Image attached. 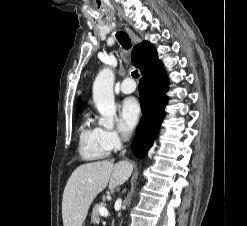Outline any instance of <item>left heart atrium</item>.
<instances>
[{"label":"left heart atrium","instance_id":"1","mask_svg":"<svg viewBox=\"0 0 247 226\" xmlns=\"http://www.w3.org/2000/svg\"><path fill=\"white\" fill-rule=\"evenodd\" d=\"M141 109L135 98H127L121 107V126L126 130L135 127L140 117Z\"/></svg>","mask_w":247,"mask_h":226}]
</instances>
